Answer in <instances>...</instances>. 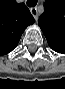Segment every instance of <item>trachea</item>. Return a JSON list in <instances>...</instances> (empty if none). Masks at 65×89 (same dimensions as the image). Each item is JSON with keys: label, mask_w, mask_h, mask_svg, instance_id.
<instances>
[{"label": "trachea", "mask_w": 65, "mask_h": 89, "mask_svg": "<svg viewBox=\"0 0 65 89\" xmlns=\"http://www.w3.org/2000/svg\"><path fill=\"white\" fill-rule=\"evenodd\" d=\"M38 0H27V6L28 7H35Z\"/></svg>", "instance_id": "3493384b"}]
</instances>
